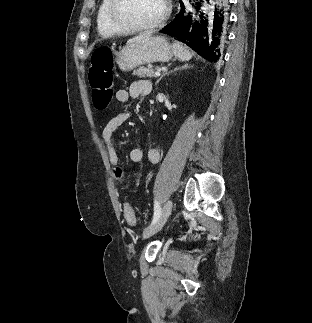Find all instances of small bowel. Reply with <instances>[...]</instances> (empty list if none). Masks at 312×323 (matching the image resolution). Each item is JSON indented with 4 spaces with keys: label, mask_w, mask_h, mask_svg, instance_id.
Listing matches in <instances>:
<instances>
[{
    "label": "small bowel",
    "mask_w": 312,
    "mask_h": 323,
    "mask_svg": "<svg viewBox=\"0 0 312 323\" xmlns=\"http://www.w3.org/2000/svg\"><path fill=\"white\" fill-rule=\"evenodd\" d=\"M151 91L152 85L150 81L146 79H139L133 81L129 85L128 89H118L115 92V99L118 103H126L130 99L148 95L151 93ZM131 116L132 114L130 111L117 113L109 118L102 130V141L106 148L108 160L113 167H115L116 164H119V157L113 145V134L121 125L127 122ZM146 157L150 163H157L160 159L159 150L155 147H149L146 150ZM130 159L136 164H141L144 160V150L139 147L133 148L130 151Z\"/></svg>",
    "instance_id": "1"
}]
</instances>
